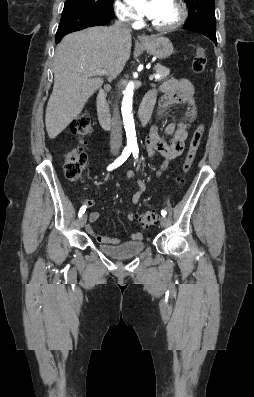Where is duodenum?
I'll use <instances>...</instances> for the list:
<instances>
[{
  "label": "duodenum",
  "instance_id": "1",
  "mask_svg": "<svg viewBox=\"0 0 254 397\" xmlns=\"http://www.w3.org/2000/svg\"><path fill=\"white\" fill-rule=\"evenodd\" d=\"M154 102V98L149 94V92L143 98L138 111L139 120L143 126L146 125L150 119ZM96 106L100 125L104 129H110L111 117L107 106L106 94L102 89L98 92Z\"/></svg>",
  "mask_w": 254,
  "mask_h": 397
}]
</instances>
